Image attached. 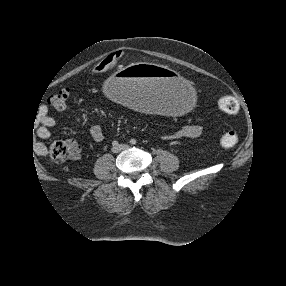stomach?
<instances>
[{"mask_svg":"<svg viewBox=\"0 0 286 286\" xmlns=\"http://www.w3.org/2000/svg\"><path fill=\"white\" fill-rule=\"evenodd\" d=\"M103 91L111 101H128L157 116L181 113L192 98V87L184 74L145 62L132 63L108 76Z\"/></svg>","mask_w":286,"mask_h":286,"instance_id":"1","label":"stomach"}]
</instances>
